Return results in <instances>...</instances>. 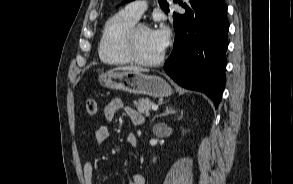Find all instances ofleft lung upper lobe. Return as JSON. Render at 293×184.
<instances>
[{
  "mask_svg": "<svg viewBox=\"0 0 293 184\" xmlns=\"http://www.w3.org/2000/svg\"><path fill=\"white\" fill-rule=\"evenodd\" d=\"M130 1H133V0H126L125 2H123L122 4L126 3V2H130ZM161 8L167 13L169 12V7H168V4L166 2V0H158Z\"/></svg>",
  "mask_w": 293,
  "mask_h": 184,
  "instance_id": "left-lung-upper-lobe-1",
  "label": "left lung upper lobe"
}]
</instances>
